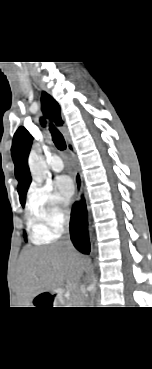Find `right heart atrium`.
<instances>
[{"instance_id": "right-heart-atrium-1", "label": "right heart atrium", "mask_w": 152, "mask_h": 369, "mask_svg": "<svg viewBox=\"0 0 152 369\" xmlns=\"http://www.w3.org/2000/svg\"><path fill=\"white\" fill-rule=\"evenodd\" d=\"M28 210L51 235L59 234L70 219L66 203L49 187L33 185L30 188Z\"/></svg>"}]
</instances>
